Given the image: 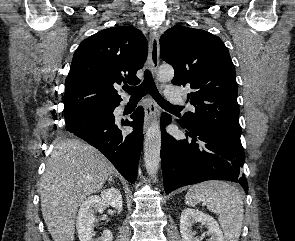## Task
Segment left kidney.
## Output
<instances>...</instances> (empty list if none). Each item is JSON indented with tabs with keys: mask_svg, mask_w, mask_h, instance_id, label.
I'll return each instance as SVG.
<instances>
[{
	"mask_svg": "<svg viewBox=\"0 0 295 241\" xmlns=\"http://www.w3.org/2000/svg\"><path fill=\"white\" fill-rule=\"evenodd\" d=\"M194 223H201L208 229L209 241H225L223 232L212 216L191 208L183 210L180 217L182 241H201V239L195 237V232L192 230Z\"/></svg>",
	"mask_w": 295,
	"mask_h": 241,
	"instance_id": "1",
	"label": "left kidney"
}]
</instances>
